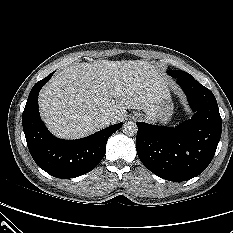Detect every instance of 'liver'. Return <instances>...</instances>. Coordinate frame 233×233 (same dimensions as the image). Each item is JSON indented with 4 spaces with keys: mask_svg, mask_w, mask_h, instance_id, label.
I'll use <instances>...</instances> for the list:
<instances>
[{
    "mask_svg": "<svg viewBox=\"0 0 233 233\" xmlns=\"http://www.w3.org/2000/svg\"><path fill=\"white\" fill-rule=\"evenodd\" d=\"M169 92L163 73L143 60L76 63L57 72L39 96L42 117L56 136L77 139L104 126L96 118L121 121L126 109L156 119L159 101Z\"/></svg>",
    "mask_w": 233,
    "mask_h": 233,
    "instance_id": "6515ba94",
    "label": "liver"
}]
</instances>
